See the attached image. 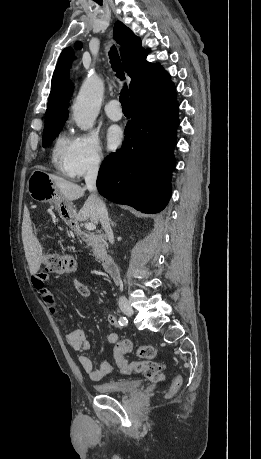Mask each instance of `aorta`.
Listing matches in <instances>:
<instances>
[{
  "instance_id": "obj_1",
  "label": "aorta",
  "mask_w": 261,
  "mask_h": 459,
  "mask_svg": "<svg viewBox=\"0 0 261 459\" xmlns=\"http://www.w3.org/2000/svg\"><path fill=\"white\" fill-rule=\"evenodd\" d=\"M103 92V81L96 75H89L72 107L74 121L82 130L91 129L94 125L101 107Z\"/></svg>"
}]
</instances>
